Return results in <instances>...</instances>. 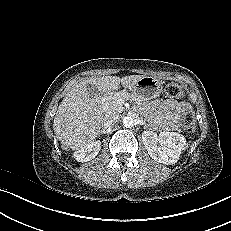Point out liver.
<instances>
[{
  "label": "liver",
  "mask_w": 231,
  "mask_h": 231,
  "mask_svg": "<svg viewBox=\"0 0 231 231\" xmlns=\"http://www.w3.org/2000/svg\"><path fill=\"white\" fill-rule=\"evenodd\" d=\"M144 75L102 76L85 78L76 84L59 104L54 117L53 129L64 148L76 150L94 141L101 129L102 117L96 102L86 92V85H95L101 93L117 90L121 84L130 88Z\"/></svg>",
  "instance_id": "obj_1"
}]
</instances>
